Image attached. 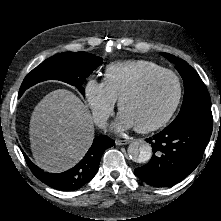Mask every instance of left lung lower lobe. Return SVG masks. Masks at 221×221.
Listing matches in <instances>:
<instances>
[{"instance_id":"obj_1","label":"left lung lower lobe","mask_w":221,"mask_h":221,"mask_svg":"<svg viewBox=\"0 0 221 221\" xmlns=\"http://www.w3.org/2000/svg\"><path fill=\"white\" fill-rule=\"evenodd\" d=\"M212 126V116L193 114L147 138L146 141L152 145L153 156L148 164L134 170L135 175L157 187L180 182L202 160Z\"/></svg>"}]
</instances>
